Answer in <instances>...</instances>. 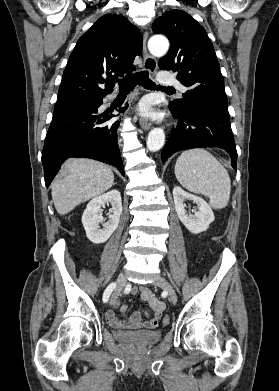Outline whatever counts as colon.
<instances>
[{"label":"colon","instance_id":"1","mask_svg":"<svg viewBox=\"0 0 279 391\" xmlns=\"http://www.w3.org/2000/svg\"><path fill=\"white\" fill-rule=\"evenodd\" d=\"M162 322L163 324H168L169 323V317L168 316H164L163 319H162Z\"/></svg>","mask_w":279,"mask_h":391}]
</instances>
